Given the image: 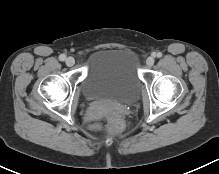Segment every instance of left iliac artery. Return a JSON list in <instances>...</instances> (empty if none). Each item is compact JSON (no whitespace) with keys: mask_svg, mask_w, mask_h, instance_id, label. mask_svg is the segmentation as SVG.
<instances>
[{"mask_svg":"<svg viewBox=\"0 0 219 174\" xmlns=\"http://www.w3.org/2000/svg\"><path fill=\"white\" fill-rule=\"evenodd\" d=\"M155 56L160 58L162 56V53L161 52L155 53Z\"/></svg>","mask_w":219,"mask_h":174,"instance_id":"obj_1","label":"left iliac artery"}]
</instances>
